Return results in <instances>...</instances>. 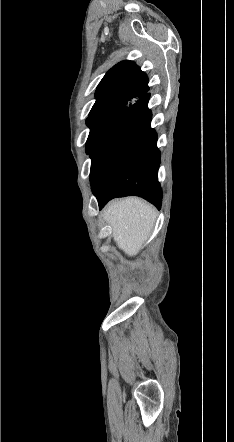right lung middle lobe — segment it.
I'll use <instances>...</instances> for the list:
<instances>
[{"instance_id":"dd1d6c3e","label":"right lung middle lobe","mask_w":234,"mask_h":442,"mask_svg":"<svg viewBox=\"0 0 234 442\" xmlns=\"http://www.w3.org/2000/svg\"><path fill=\"white\" fill-rule=\"evenodd\" d=\"M117 114H104L94 117H88L86 120L87 126L90 127L89 137L86 142V153L91 154L98 141L105 133L107 128L116 118Z\"/></svg>"}]
</instances>
